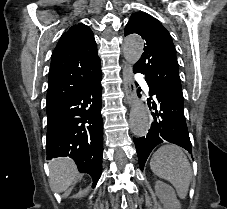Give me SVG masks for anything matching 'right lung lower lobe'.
I'll list each match as a JSON object with an SVG mask.
<instances>
[{"label": "right lung lower lobe", "instance_id": "1", "mask_svg": "<svg viewBox=\"0 0 227 209\" xmlns=\"http://www.w3.org/2000/svg\"><path fill=\"white\" fill-rule=\"evenodd\" d=\"M79 73L87 69L80 67ZM102 73L90 76L86 83L68 97L47 107V160L70 157L81 173H88L93 186L102 172L103 119Z\"/></svg>", "mask_w": 227, "mask_h": 209}]
</instances>
